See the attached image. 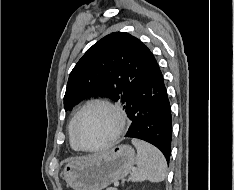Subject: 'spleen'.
Segmentation results:
<instances>
[{"mask_svg":"<svg viewBox=\"0 0 234 190\" xmlns=\"http://www.w3.org/2000/svg\"><path fill=\"white\" fill-rule=\"evenodd\" d=\"M132 144L137 149V168L131 173L130 180L134 182L163 181L167 174V163L164 155L145 141L132 139Z\"/></svg>","mask_w":234,"mask_h":190,"instance_id":"1","label":"spleen"}]
</instances>
